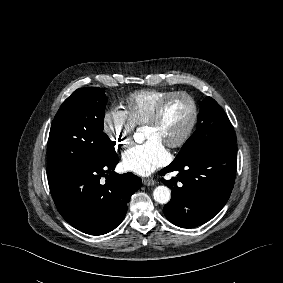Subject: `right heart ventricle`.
<instances>
[{
    "instance_id": "e07e8e85",
    "label": "right heart ventricle",
    "mask_w": 283,
    "mask_h": 283,
    "mask_svg": "<svg viewBox=\"0 0 283 283\" xmlns=\"http://www.w3.org/2000/svg\"><path fill=\"white\" fill-rule=\"evenodd\" d=\"M171 91L145 89L130 94L124 101L125 112L135 126L145 124L156 105Z\"/></svg>"
}]
</instances>
